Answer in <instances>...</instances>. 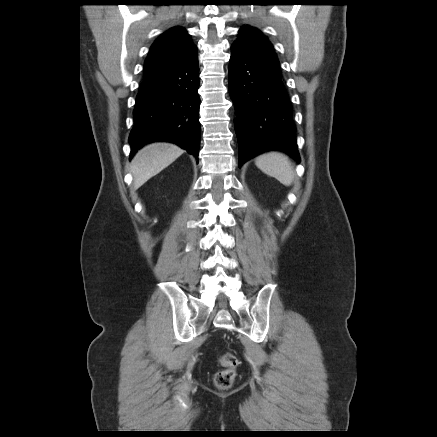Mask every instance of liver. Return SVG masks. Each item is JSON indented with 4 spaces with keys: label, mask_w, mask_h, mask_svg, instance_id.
<instances>
[{
    "label": "liver",
    "mask_w": 437,
    "mask_h": 437,
    "mask_svg": "<svg viewBox=\"0 0 437 437\" xmlns=\"http://www.w3.org/2000/svg\"><path fill=\"white\" fill-rule=\"evenodd\" d=\"M183 152L177 145L166 142H156L144 146L136 153L130 164L134 188L138 189L150 178L160 173Z\"/></svg>",
    "instance_id": "liver-1"
}]
</instances>
